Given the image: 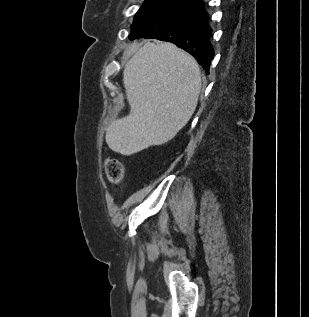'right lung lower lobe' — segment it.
I'll use <instances>...</instances> for the list:
<instances>
[{
  "label": "right lung lower lobe",
  "mask_w": 309,
  "mask_h": 317,
  "mask_svg": "<svg viewBox=\"0 0 309 317\" xmlns=\"http://www.w3.org/2000/svg\"><path fill=\"white\" fill-rule=\"evenodd\" d=\"M202 0H178L146 15L132 26L129 39L155 38L189 52L209 73L214 57L211 28Z\"/></svg>",
  "instance_id": "1"
}]
</instances>
